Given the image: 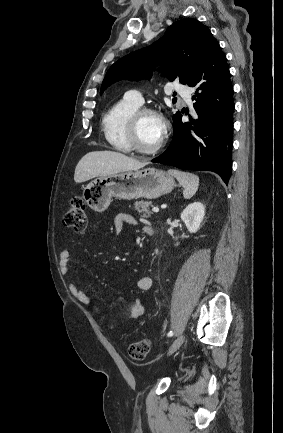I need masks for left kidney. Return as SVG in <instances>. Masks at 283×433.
<instances>
[{
    "instance_id": "obj_1",
    "label": "left kidney",
    "mask_w": 283,
    "mask_h": 433,
    "mask_svg": "<svg viewBox=\"0 0 283 433\" xmlns=\"http://www.w3.org/2000/svg\"><path fill=\"white\" fill-rule=\"evenodd\" d=\"M204 216L205 207L201 202L189 204L181 213V219L190 233H196L199 230Z\"/></svg>"
}]
</instances>
